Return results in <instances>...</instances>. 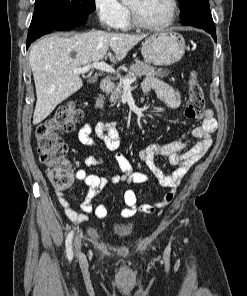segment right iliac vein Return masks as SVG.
<instances>
[{"label":"right iliac vein","instance_id":"right-iliac-vein-1","mask_svg":"<svg viewBox=\"0 0 247 296\" xmlns=\"http://www.w3.org/2000/svg\"><path fill=\"white\" fill-rule=\"evenodd\" d=\"M74 247H75L76 254L79 255L80 254V240L79 239H75Z\"/></svg>","mask_w":247,"mask_h":296}]
</instances>
